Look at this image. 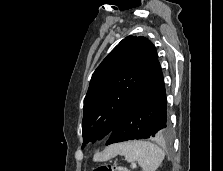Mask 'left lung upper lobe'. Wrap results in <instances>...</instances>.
Wrapping results in <instances>:
<instances>
[{
  "instance_id": "5c2ea615",
  "label": "left lung upper lobe",
  "mask_w": 223,
  "mask_h": 171,
  "mask_svg": "<svg viewBox=\"0 0 223 171\" xmlns=\"http://www.w3.org/2000/svg\"><path fill=\"white\" fill-rule=\"evenodd\" d=\"M157 59L151 41L143 36H127L101 62L84 99L82 147L112 132Z\"/></svg>"
}]
</instances>
